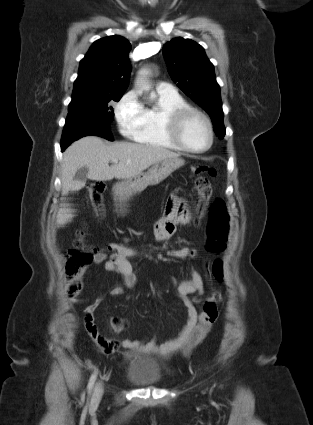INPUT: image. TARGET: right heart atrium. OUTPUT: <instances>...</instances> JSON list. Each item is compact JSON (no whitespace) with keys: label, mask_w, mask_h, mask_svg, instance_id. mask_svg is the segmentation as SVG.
Instances as JSON below:
<instances>
[{"label":"right heart atrium","mask_w":313,"mask_h":425,"mask_svg":"<svg viewBox=\"0 0 313 425\" xmlns=\"http://www.w3.org/2000/svg\"><path fill=\"white\" fill-rule=\"evenodd\" d=\"M115 118L121 133L133 137L142 127L144 107L135 91H129L117 102L114 109Z\"/></svg>","instance_id":"obj_1"}]
</instances>
